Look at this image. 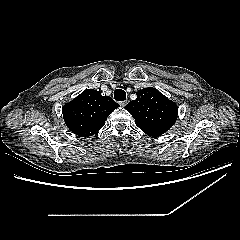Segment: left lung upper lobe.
I'll use <instances>...</instances> for the list:
<instances>
[{
    "instance_id": "left-lung-upper-lobe-1",
    "label": "left lung upper lobe",
    "mask_w": 240,
    "mask_h": 240,
    "mask_svg": "<svg viewBox=\"0 0 240 240\" xmlns=\"http://www.w3.org/2000/svg\"><path fill=\"white\" fill-rule=\"evenodd\" d=\"M136 100L125 109L135 118L136 125L149 136H160L168 131L177 119V105L156 88L139 90Z\"/></svg>"
}]
</instances>
